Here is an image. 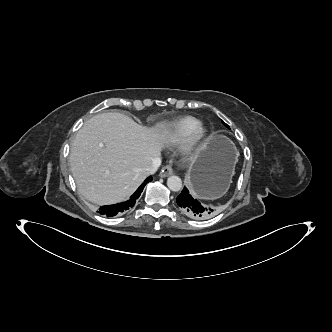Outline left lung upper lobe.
Wrapping results in <instances>:
<instances>
[{"label":"left lung upper lobe","instance_id":"1","mask_svg":"<svg viewBox=\"0 0 332 332\" xmlns=\"http://www.w3.org/2000/svg\"><path fill=\"white\" fill-rule=\"evenodd\" d=\"M222 123H223L226 127H229L224 121H222Z\"/></svg>","mask_w":332,"mask_h":332}]
</instances>
